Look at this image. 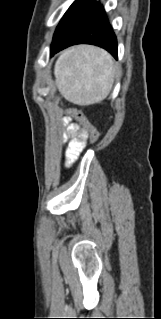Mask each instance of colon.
Masks as SVG:
<instances>
[{"mask_svg": "<svg viewBox=\"0 0 161 319\" xmlns=\"http://www.w3.org/2000/svg\"><path fill=\"white\" fill-rule=\"evenodd\" d=\"M70 114L77 120V122L81 125L84 136L83 138L88 141L90 144H93L98 139L97 129L92 125L89 119L84 115V113L77 108H70Z\"/></svg>", "mask_w": 161, "mask_h": 319, "instance_id": "1", "label": "colon"}]
</instances>
